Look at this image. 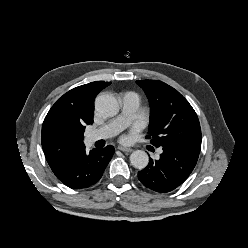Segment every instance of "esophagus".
Masks as SVG:
<instances>
[{
  "mask_svg": "<svg viewBox=\"0 0 248 248\" xmlns=\"http://www.w3.org/2000/svg\"><path fill=\"white\" fill-rule=\"evenodd\" d=\"M118 149L124 153H130L133 149L129 147L119 146Z\"/></svg>",
  "mask_w": 248,
  "mask_h": 248,
  "instance_id": "1",
  "label": "esophagus"
}]
</instances>
